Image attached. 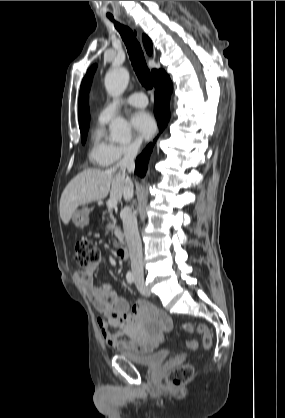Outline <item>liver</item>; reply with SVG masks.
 Here are the masks:
<instances>
[{"label": "liver", "instance_id": "6515ba94", "mask_svg": "<svg viewBox=\"0 0 285 418\" xmlns=\"http://www.w3.org/2000/svg\"><path fill=\"white\" fill-rule=\"evenodd\" d=\"M125 177L119 176L115 168L107 170L86 169L75 176L65 187L60 199V217L67 225L80 205L107 197L120 201Z\"/></svg>", "mask_w": 285, "mask_h": 418}]
</instances>
